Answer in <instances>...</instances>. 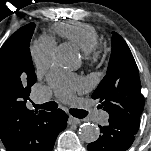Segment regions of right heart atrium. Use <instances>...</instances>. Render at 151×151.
I'll return each instance as SVG.
<instances>
[{
  "label": "right heart atrium",
  "mask_w": 151,
  "mask_h": 151,
  "mask_svg": "<svg viewBox=\"0 0 151 151\" xmlns=\"http://www.w3.org/2000/svg\"><path fill=\"white\" fill-rule=\"evenodd\" d=\"M52 43L36 41L30 48V54L37 67H42L50 62Z\"/></svg>",
  "instance_id": "obj_1"
}]
</instances>
